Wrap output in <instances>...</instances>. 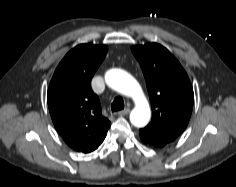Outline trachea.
Segmentation results:
<instances>
[{
  "mask_svg": "<svg viewBox=\"0 0 236 187\" xmlns=\"http://www.w3.org/2000/svg\"><path fill=\"white\" fill-rule=\"evenodd\" d=\"M122 109H124V101L121 97H116L111 104V110L114 112Z\"/></svg>",
  "mask_w": 236,
  "mask_h": 187,
  "instance_id": "1",
  "label": "trachea"
}]
</instances>
